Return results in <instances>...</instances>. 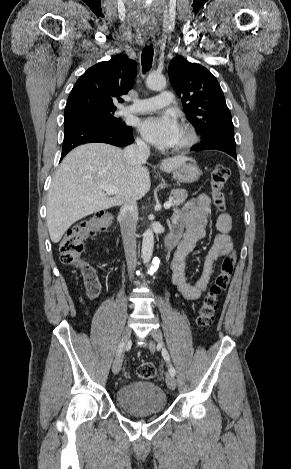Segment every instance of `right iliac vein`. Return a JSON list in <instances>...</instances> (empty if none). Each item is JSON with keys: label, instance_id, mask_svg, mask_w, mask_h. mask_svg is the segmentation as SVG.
<instances>
[{"label": "right iliac vein", "instance_id": "right-iliac-vein-1", "mask_svg": "<svg viewBox=\"0 0 291 469\" xmlns=\"http://www.w3.org/2000/svg\"><path fill=\"white\" fill-rule=\"evenodd\" d=\"M130 335H131V329L127 326L125 327L123 334H122V343L124 344V346L128 342ZM121 354L116 357L112 365V371L114 374H118L121 370V367H122V355Z\"/></svg>", "mask_w": 291, "mask_h": 469}]
</instances>
